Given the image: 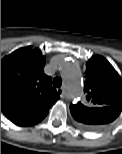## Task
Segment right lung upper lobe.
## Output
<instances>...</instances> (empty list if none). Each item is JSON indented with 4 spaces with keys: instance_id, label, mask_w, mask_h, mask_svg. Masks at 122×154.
<instances>
[{
    "instance_id": "obj_1",
    "label": "right lung upper lobe",
    "mask_w": 122,
    "mask_h": 154,
    "mask_svg": "<svg viewBox=\"0 0 122 154\" xmlns=\"http://www.w3.org/2000/svg\"><path fill=\"white\" fill-rule=\"evenodd\" d=\"M45 57L31 46L1 60V110L18 126H32L59 99L51 78L44 74Z\"/></svg>"
}]
</instances>
